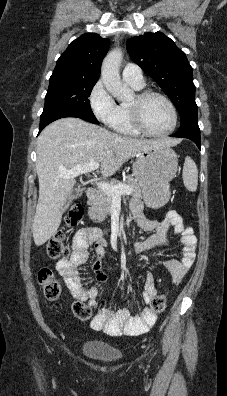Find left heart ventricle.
I'll use <instances>...</instances> for the list:
<instances>
[{
  "label": "left heart ventricle",
  "instance_id": "obj_1",
  "mask_svg": "<svg viewBox=\"0 0 227 396\" xmlns=\"http://www.w3.org/2000/svg\"><path fill=\"white\" fill-rule=\"evenodd\" d=\"M135 102V97L130 103ZM141 117L147 129L153 132H164L172 125V114L163 99L150 96L140 106Z\"/></svg>",
  "mask_w": 227,
  "mask_h": 396
}]
</instances>
